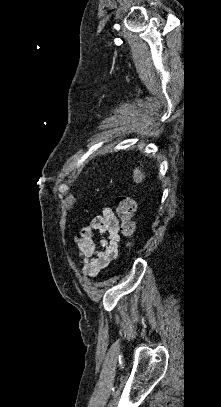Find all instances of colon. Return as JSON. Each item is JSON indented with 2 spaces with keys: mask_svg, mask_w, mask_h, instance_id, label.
Here are the masks:
<instances>
[{
  "mask_svg": "<svg viewBox=\"0 0 221 407\" xmlns=\"http://www.w3.org/2000/svg\"><path fill=\"white\" fill-rule=\"evenodd\" d=\"M116 204L117 216L120 220V233L125 239V244H127L136 231L133 218L137 204L132 196H118L116 198Z\"/></svg>",
  "mask_w": 221,
  "mask_h": 407,
  "instance_id": "1",
  "label": "colon"
}]
</instances>
